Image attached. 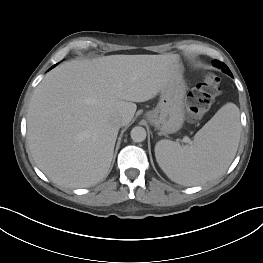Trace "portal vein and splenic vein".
<instances>
[{
  "label": "portal vein and splenic vein",
  "instance_id": "18ae733b",
  "mask_svg": "<svg viewBox=\"0 0 263 263\" xmlns=\"http://www.w3.org/2000/svg\"><path fill=\"white\" fill-rule=\"evenodd\" d=\"M183 141L186 142V143H190V142H191L188 137H184V138H183Z\"/></svg>",
  "mask_w": 263,
  "mask_h": 263
}]
</instances>
